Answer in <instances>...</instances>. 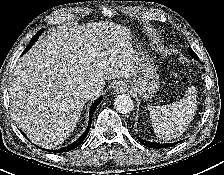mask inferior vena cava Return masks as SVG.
<instances>
[{
	"mask_svg": "<svg viewBox=\"0 0 224 175\" xmlns=\"http://www.w3.org/2000/svg\"><path fill=\"white\" fill-rule=\"evenodd\" d=\"M99 93H100L99 88H97L95 86H88L84 89L83 96L86 99H90V98H93V97L99 95Z\"/></svg>",
	"mask_w": 224,
	"mask_h": 175,
	"instance_id": "1",
	"label": "inferior vena cava"
}]
</instances>
